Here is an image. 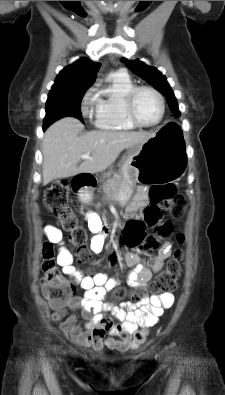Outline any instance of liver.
<instances>
[{"mask_svg": "<svg viewBox=\"0 0 225 395\" xmlns=\"http://www.w3.org/2000/svg\"><path fill=\"white\" fill-rule=\"evenodd\" d=\"M84 125L76 118L66 117L53 123L45 132L42 143L43 185L57 178L80 173L94 174L106 170L119 154L147 142L154 132L91 131L78 134ZM90 153L91 159H83Z\"/></svg>", "mask_w": 225, "mask_h": 395, "instance_id": "liver-1", "label": "liver"}]
</instances>
